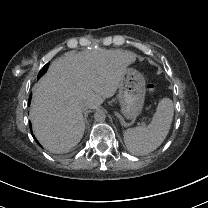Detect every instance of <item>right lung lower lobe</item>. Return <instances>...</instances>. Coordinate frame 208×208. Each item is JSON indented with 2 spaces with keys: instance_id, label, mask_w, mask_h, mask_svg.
Wrapping results in <instances>:
<instances>
[{
  "instance_id": "obj_1",
  "label": "right lung lower lobe",
  "mask_w": 208,
  "mask_h": 208,
  "mask_svg": "<svg viewBox=\"0 0 208 208\" xmlns=\"http://www.w3.org/2000/svg\"><path fill=\"white\" fill-rule=\"evenodd\" d=\"M48 66H49V63H47L46 64V68L48 69ZM47 71V70H46ZM31 97H32V94H30V96H29V101H28V103L30 104V101H31ZM30 124V129H31V123H29ZM32 136H33V134H32ZM34 137V136H33ZM34 139L36 140V138L34 137ZM37 141V140H36ZM38 143V142H37ZM39 144V143H38ZM40 145V144H39ZM41 146V145H40Z\"/></svg>"
}]
</instances>
